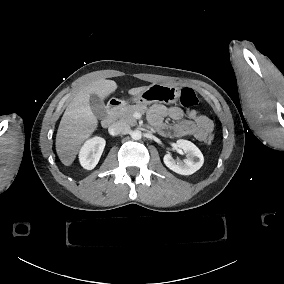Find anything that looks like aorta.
<instances>
[{
    "mask_svg": "<svg viewBox=\"0 0 284 284\" xmlns=\"http://www.w3.org/2000/svg\"><path fill=\"white\" fill-rule=\"evenodd\" d=\"M131 137L134 140H140L142 138V132L140 130H134L131 133Z\"/></svg>",
    "mask_w": 284,
    "mask_h": 284,
    "instance_id": "1",
    "label": "aorta"
}]
</instances>
